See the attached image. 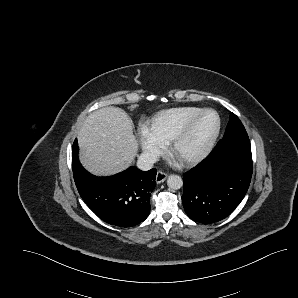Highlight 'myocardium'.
<instances>
[{
    "mask_svg": "<svg viewBox=\"0 0 298 298\" xmlns=\"http://www.w3.org/2000/svg\"><path fill=\"white\" fill-rule=\"evenodd\" d=\"M207 114H212L215 118V129L211 136L206 140V142L192 155L186 156L178 162L183 165H191L201 161L207 153L210 151L211 147L218 138L220 132V118L218 114L210 109H203L196 115L184 121L179 127H177L173 133L166 137L168 156L174 159V153L179 145L181 139L190 131V129L195 125V123L203 116ZM177 161V160H175Z\"/></svg>",
    "mask_w": 298,
    "mask_h": 298,
    "instance_id": "f54148a6",
    "label": "myocardium"
}]
</instances>
